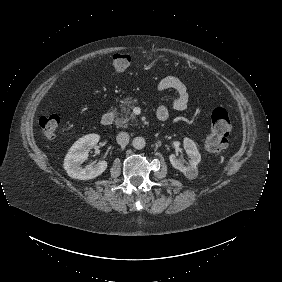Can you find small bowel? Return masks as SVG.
I'll return each mask as SVG.
<instances>
[{
  "label": "small bowel",
  "mask_w": 282,
  "mask_h": 282,
  "mask_svg": "<svg viewBox=\"0 0 282 282\" xmlns=\"http://www.w3.org/2000/svg\"><path fill=\"white\" fill-rule=\"evenodd\" d=\"M156 88L158 92L173 90L176 93L169 107L161 105L157 109L156 115L159 120L165 121L169 116L170 109L183 111L187 108L189 101L188 90L185 83L180 78L176 76H166L158 82Z\"/></svg>",
  "instance_id": "c3829d8e"
}]
</instances>
